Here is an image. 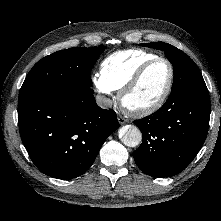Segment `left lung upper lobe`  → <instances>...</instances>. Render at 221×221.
<instances>
[{
  "label": "left lung upper lobe",
  "instance_id": "obj_1",
  "mask_svg": "<svg viewBox=\"0 0 221 221\" xmlns=\"http://www.w3.org/2000/svg\"><path fill=\"white\" fill-rule=\"evenodd\" d=\"M141 45L163 50L173 65L174 80L171 93L190 88H207L202 74L194 61L181 50L163 42L144 43Z\"/></svg>",
  "mask_w": 221,
  "mask_h": 221
}]
</instances>
